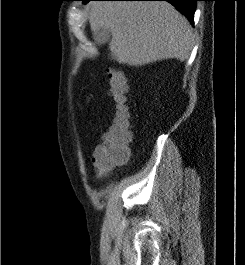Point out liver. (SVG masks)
Segmentation results:
<instances>
[{"label": "liver", "mask_w": 245, "mask_h": 265, "mask_svg": "<svg viewBox=\"0 0 245 265\" xmlns=\"http://www.w3.org/2000/svg\"><path fill=\"white\" fill-rule=\"evenodd\" d=\"M89 7L91 30H110L111 56L119 63L138 67L164 59H188L191 26L168 2L93 1Z\"/></svg>", "instance_id": "1"}]
</instances>
